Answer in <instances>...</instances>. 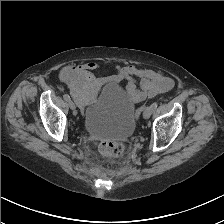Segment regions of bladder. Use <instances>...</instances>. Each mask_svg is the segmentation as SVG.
<instances>
[{
    "label": "bladder",
    "mask_w": 224,
    "mask_h": 224,
    "mask_svg": "<svg viewBox=\"0 0 224 224\" xmlns=\"http://www.w3.org/2000/svg\"><path fill=\"white\" fill-rule=\"evenodd\" d=\"M83 126L95 137L128 138L135 128L134 102L117 84L107 83L85 108Z\"/></svg>",
    "instance_id": "bladder-1"
}]
</instances>
